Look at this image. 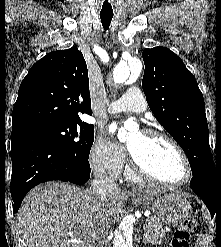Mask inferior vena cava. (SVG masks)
Here are the masks:
<instances>
[{
	"instance_id": "1",
	"label": "inferior vena cava",
	"mask_w": 221,
	"mask_h": 247,
	"mask_svg": "<svg viewBox=\"0 0 221 247\" xmlns=\"http://www.w3.org/2000/svg\"><path fill=\"white\" fill-rule=\"evenodd\" d=\"M91 187L92 192L102 200L117 189V185L103 171H95ZM96 247H110L107 235H101L98 238Z\"/></svg>"
}]
</instances>
